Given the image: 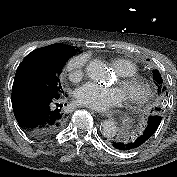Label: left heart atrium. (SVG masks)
Returning a JSON list of instances; mask_svg holds the SVG:
<instances>
[{
    "label": "left heart atrium",
    "instance_id": "left-heart-atrium-1",
    "mask_svg": "<svg viewBox=\"0 0 177 177\" xmlns=\"http://www.w3.org/2000/svg\"><path fill=\"white\" fill-rule=\"evenodd\" d=\"M77 102L97 111H107L120 105L125 95L118 87H108L94 82L80 86L75 92Z\"/></svg>",
    "mask_w": 177,
    "mask_h": 177
}]
</instances>
